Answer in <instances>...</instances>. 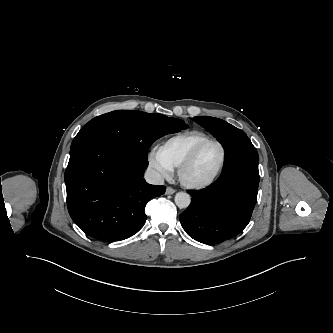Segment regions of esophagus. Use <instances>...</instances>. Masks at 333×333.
Segmentation results:
<instances>
[{
  "instance_id": "1",
  "label": "esophagus",
  "mask_w": 333,
  "mask_h": 333,
  "mask_svg": "<svg viewBox=\"0 0 333 333\" xmlns=\"http://www.w3.org/2000/svg\"><path fill=\"white\" fill-rule=\"evenodd\" d=\"M174 193H175V190L172 187L166 188V192H165L166 195H172Z\"/></svg>"
}]
</instances>
